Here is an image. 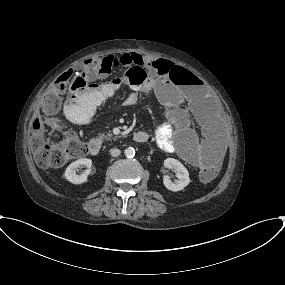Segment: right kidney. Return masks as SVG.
I'll list each match as a JSON object with an SVG mask.
<instances>
[{"instance_id": "obj_1", "label": "right kidney", "mask_w": 285, "mask_h": 285, "mask_svg": "<svg viewBox=\"0 0 285 285\" xmlns=\"http://www.w3.org/2000/svg\"><path fill=\"white\" fill-rule=\"evenodd\" d=\"M85 166L88 169L82 174H77L78 169ZM92 160L88 158H81L72 162L65 170L64 177L73 184H82L88 180V175L91 172Z\"/></svg>"}]
</instances>
